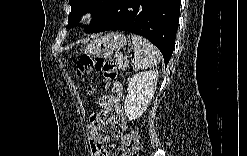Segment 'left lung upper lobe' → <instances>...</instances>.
<instances>
[{
	"mask_svg": "<svg viewBox=\"0 0 247 156\" xmlns=\"http://www.w3.org/2000/svg\"><path fill=\"white\" fill-rule=\"evenodd\" d=\"M113 2L114 0H70L71 13L68 27L76 26L83 14L91 12V24L86 26V33H89L93 26L108 12Z\"/></svg>",
	"mask_w": 247,
	"mask_h": 156,
	"instance_id": "5c2ea615",
	"label": "left lung upper lobe"
}]
</instances>
